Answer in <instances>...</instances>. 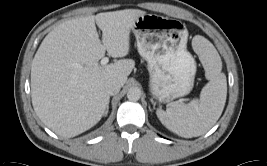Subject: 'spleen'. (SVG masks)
<instances>
[{
	"label": "spleen",
	"mask_w": 267,
	"mask_h": 166,
	"mask_svg": "<svg viewBox=\"0 0 267 166\" xmlns=\"http://www.w3.org/2000/svg\"><path fill=\"white\" fill-rule=\"evenodd\" d=\"M197 48L209 82L203 87L200 98L190 103H176L156 114L161 123L173 133L184 137H197L206 133L220 118L227 96L226 76L221 72V58L206 39L200 38Z\"/></svg>",
	"instance_id": "1"
}]
</instances>
